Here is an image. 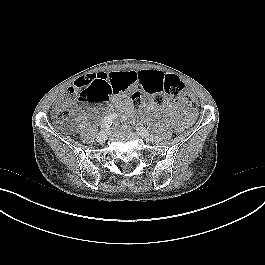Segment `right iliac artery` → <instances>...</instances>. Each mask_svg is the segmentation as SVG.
Returning <instances> with one entry per match:
<instances>
[{
    "label": "right iliac artery",
    "instance_id": "right-iliac-artery-1",
    "mask_svg": "<svg viewBox=\"0 0 265 265\" xmlns=\"http://www.w3.org/2000/svg\"><path fill=\"white\" fill-rule=\"evenodd\" d=\"M116 118H117L116 113H112L106 116L104 120L102 121L101 129H104V130L108 129Z\"/></svg>",
    "mask_w": 265,
    "mask_h": 265
}]
</instances>
